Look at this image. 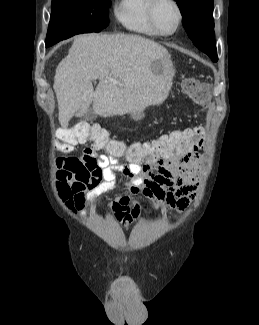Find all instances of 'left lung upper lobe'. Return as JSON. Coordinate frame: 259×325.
<instances>
[{"instance_id":"5c2ea615","label":"left lung upper lobe","mask_w":259,"mask_h":325,"mask_svg":"<svg viewBox=\"0 0 259 325\" xmlns=\"http://www.w3.org/2000/svg\"><path fill=\"white\" fill-rule=\"evenodd\" d=\"M183 26L194 45L214 62L218 60L214 38V0H176Z\"/></svg>"}]
</instances>
